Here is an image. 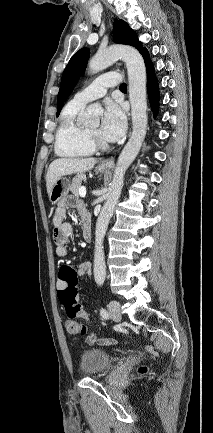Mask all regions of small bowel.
Wrapping results in <instances>:
<instances>
[{
    "mask_svg": "<svg viewBox=\"0 0 213 433\" xmlns=\"http://www.w3.org/2000/svg\"><path fill=\"white\" fill-rule=\"evenodd\" d=\"M70 206L77 207L80 214L82 227L86 225L90 226V222H91L89 213L81 203L72 202L69 199H63L59 202L55 214L53 216V225L55 227L54 239L56 243L55 252L59 257H66L68 255L69 253L68 244L74 235L72 225L66 221L67 211ZM73 267L76 269L78 275L92 274V266L90 263H82ZM63 287H64L63 282L60 279H58L57 280L58 291L61 290ZM89 319L90 317L87 316L86 320ZM86 340L90 344L97 342L100 345H112L115 343V340L112 338L97 337L95 334L88 336Z\"/></svg>",
    "mask_w": 213,
    "mask_h": 433,
    "instance_id": "c3829d8e",
    "label": "small bowel"
}]
</instances>
